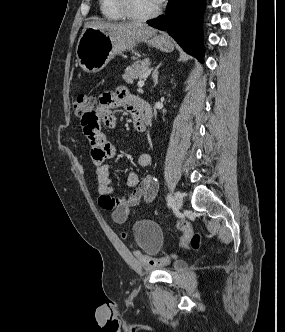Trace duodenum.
I'll return each mask as SVG.
<instances>
[{
	"label": "duodenum",
	"mask_w": 285,
	"mask_h": 332,
	"mask_svg": "<svg viewBox=\"0 0 285 332\" xmlns=\"http://www.w3.org/2000/svg\"><path fill=\"white\" fill-rule=\"evenodd\" d=\"M137 107H138L140 119H141V122L143 123V125L144 126L150 125L151 121H152V112H151L150 105L146 101L138 99Z\"/></svg>",
	"instance_id": "1"
}]
</instances>
